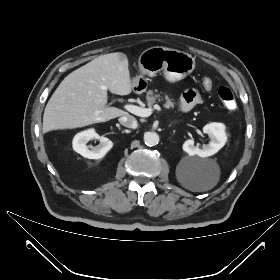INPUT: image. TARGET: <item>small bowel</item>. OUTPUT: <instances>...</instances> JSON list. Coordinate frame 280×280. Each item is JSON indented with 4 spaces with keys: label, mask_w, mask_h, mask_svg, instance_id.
<instances>
[{
    "label": "small bowel",
    "mask_w": 280,
    "mask_h": 280,
    "mask_svg": "<svg viewBox=\"0 0 280 280\" xmlns=\"http://www.w3.org/2000/svg\"><path fill=\"white\" fill-rule=\"evenodd\" d=\"M202 101L200 95L195 91H188L183 95L180 101V108L183 111H188L196 104Z\"/></svg>",
    "instance_id": "small-bowel-1"
}]
</instances>
